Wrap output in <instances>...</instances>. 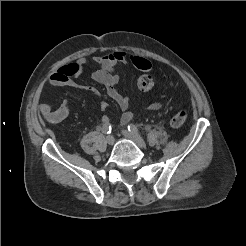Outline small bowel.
I'll use <instances>...</instances> for the list:
<instances>
[{
    "label": "small bowel",
    "mask_w": 246,
    "mask_h": 246,
    "mask_svg": "<svg viewBox=\"0 0 246 246\" xmlns=\"http://www.w3.org/2000/svg\"><path fill=\"white\" fill-rule=\"evenodd\" d=\"M92 61L99 65L93 74V79L102 84L108 96L113 99L122 110L121 122L128 123L133 119L134 113L130 109V100L127 96L122 95L117 89V84L119 82V76L115 73L116 66L126 63V54L122 51H115L113 53L103 55V56H94ZM87 62L86 59H79L71 64L63 66L56 70L48 79V85L51 88L68 86L75 88H82L94 93L100 100V108L103 112L107 110L108 103L101 98L100 93L92 87L81 86L75 82V79L82 73L83 66ZM40 113L44 116L46 120L51 123H60L64 121L69 115V108L64 102L58 107L54 108L48 102H41L38 106ZM150 111H160L163 109L161 103H153L147 108ZM102 121L104 123H110V119L106 114L102 115Z\"/></svg>",
    "instance_id": "obj_1"
}]
</instances>
